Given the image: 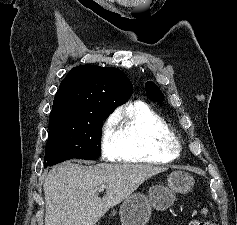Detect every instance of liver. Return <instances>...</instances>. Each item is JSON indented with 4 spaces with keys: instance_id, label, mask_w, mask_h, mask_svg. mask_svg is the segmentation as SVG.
<instances>
[{
    "instance_id": "1",
    "label": "liver",
    "mask_w": 237,
    "mask_h": 225,
    "mask_svg": "<svg viewBox=\"0 0 237 225\" xmlns=\"http://www.w3.org/2000/svg\"><path fill=\"white\" fill-rule=\"evenodd\" d=\"M166 168L147 164L64 162L43 183L45 225H95L112 207L126 200L148 178ZM105 185L100 198L98 188Z\"/></svg>"
}]
</instances>
